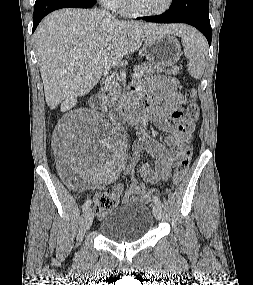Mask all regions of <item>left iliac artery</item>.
<instances>
[{
  "label": "left iliac artery",
  "instance_id": "44dca946",
  "mask_svg": "<svg viewBox=\"0 0 253 285\" xmlns=\"http://www.w3.org/2000/svg\"><path fill=\"white\" fill-rule=\"evenodd\" d=\"M153 201H154L155 204L161 205V201H160V199L157 196L153 197Z\"/></svg>",
  "mask_w": 253,
  "mask_h": 285
}]
</instances>
